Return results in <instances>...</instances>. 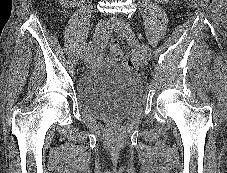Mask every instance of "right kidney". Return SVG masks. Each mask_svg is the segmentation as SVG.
Segmentation results:
<instances>
[{
	"label": "right kidney",
	"instance_id": "obj_1",
	"mask_svg": "<svg viewBox=\"0 0 227 173\" xmlns=\"http://www.w3.org/2000/svg\"><path fill=\"white\" fill-rule=\"evenodd\" d=\"M61 5H67V3H70L72 4V1H75V0H57Z\"/></svg>",
	"mask_w": 227,
	"mask_h": 173
}]
</instances>
